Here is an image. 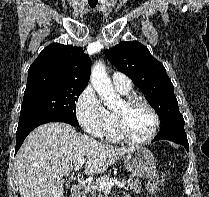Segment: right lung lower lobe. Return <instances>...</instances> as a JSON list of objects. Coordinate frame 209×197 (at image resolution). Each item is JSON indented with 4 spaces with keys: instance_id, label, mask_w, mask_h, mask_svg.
Masks as SVG:
<instances>
[{
    "instance_id": "98d812e1",
    "label": "right lung lower lobe",
    "mask_w": 209,
    "mask_h": 197,
    "mask_svg": "<svg viewBox=\"0 0 209 197\" xmlns=\"http://www.w3.org/2000/svg\"><path fill=\"white\" fill-rule=\"evenodd\" d=\"M48 122H65L68 124H71L73 126H77L78 123L74 122L68 118L64 117H58V116H50V117H43L40 119H36L27 123H24L22 125H18L17 128V134H16V147H15V152H17L22 145L23 141L27 137V135L37 126L41 124H45Z\"/></svg>"
}]
</instances>
